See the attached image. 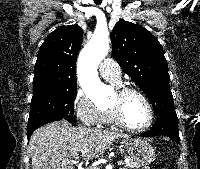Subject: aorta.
Wrapping results in <instances>:
<instances>
[{
  "label": "aorta",
  "mask_w": 200,
  "mask_h": 169,
  "mask_svg": "<svg viewBox=\"0 0 200 169\" xmlns=\"http://www.w3.org/2000/svg\"><path fill=\"white\" fill-rule=\"evenodd\" d=\"M108 51V38L94 34L79 55V82L85 94L94 102L105 99L109 93V88L100 81L97 72Z\"/></svg>",
  "instance_id": "1"
}]
</instances>
